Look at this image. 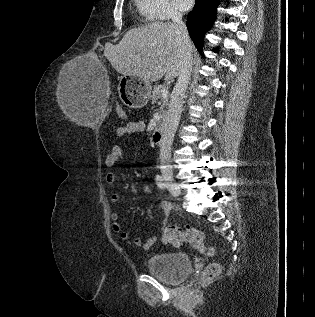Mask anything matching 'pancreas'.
<instances>
[{"label": "pancreas", "instance_id": "obj_1", "mask_svg": "<svg viewBox=\"0 0 315 317\" xmlns=\"http://www.w3.org/2000/svg\"><path fill=\"white\" fill-rule=\"evenodd\" d=\"M164 89H166V87L163 86V85H156L154 87V89L152 91V97H151L152 102H156V101H158V100H160L162 98V91ZM167 103H168V100L166 98V99H164L163 104H162V112L163 113L165 112L164 111V107L167 105Z\"/></svg>", "mask_w": 315, "mask_h": 317}]
</instances>
